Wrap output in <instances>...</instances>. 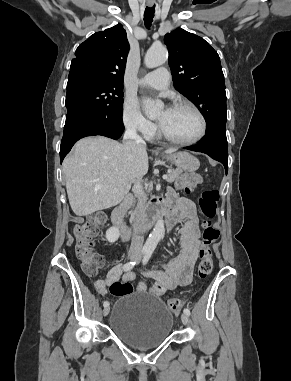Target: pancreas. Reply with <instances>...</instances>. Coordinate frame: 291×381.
<instances>
[{
  "instance_id": "cf45deb5",
  "label": "pancreas",
  "mask_w": 291,
  "mask_h": 381,
  "mask_svg": "<svg viewBox=\"0 0 291 381\" xmlns=\"http://www.w3.org/2000/svg\"><path fill=\"white\" fill-rule=\"evenodd\" d=\"M181 173V170H173V169H170L169 170V173L167 174V182L169 183H172ZM133 215V214H132Z\"/></svg>"
}]
</instances>
